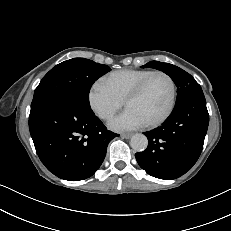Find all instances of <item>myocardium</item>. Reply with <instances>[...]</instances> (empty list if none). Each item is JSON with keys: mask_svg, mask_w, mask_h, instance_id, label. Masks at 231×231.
<instances>
[{"mask_svg": "<svg viewBox=\"0 0 231 231\" xmlns=\"http://www.w3.org/2000/svg\"><path fill=\"white\" fill-rule=\"evenodd\" d=\"M157 75L165 76L170 81L171 87H172V96H171L170 105H169L168 109L166 110V112L161 117H159L158 119L151 121V122H148V123H145V126L150 127V128L158 127L161 124H163L172 115V113L175 109V106L177 103L178 88H177V83H176L175 79L173 78V76L170 75L169 73L165 72V71H161V70L153 71L146 78H144L129 93V95L124 100V104L127 107L129 102L138 98L144 92V90L147 87V85L149 84V82Z\"/></svg>", "mask_w": 231, "mask_h": 231, "instance_id": "1", "label": "myocardium"}]
</instances>
